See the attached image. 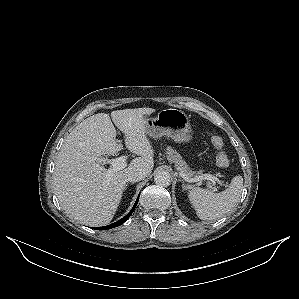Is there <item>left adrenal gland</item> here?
<instances>
[{
	"instance_id": "obj_1",
	"label": "left adrenal gland",
	"mask_w": 299,
	"mask_h": 299,
	"mask_svg": "<svg viewBox=\"0 0 299 299\" xmlns=\"http://www.w3.org/2000/svg\"><path fill=\"white\" fill-rule=\"evenodd\" d=\"M179 181H181V182L183 183V184H182V189H183V190H186L187 187H186V185L184 184L183 180L179 179Z\"/></svg>"
}]
</instances>
